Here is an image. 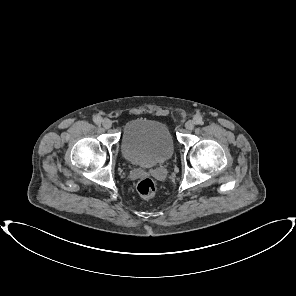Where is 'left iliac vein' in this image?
<instances>
[{
	"mask_svg": "<svg viewBox=\"0 0 296 296\" xmlns=\"http://www.w3.org/2000/svg\"><path fill=\"white\" fill-rule=\"evenodd\" d=\"M194 126H195V121L193 120H189L185 123V128L187 130H193Z\"/></svg>",
	"mask_w": 296,
	"mask_h": 296,
	"instance_id": "4c4485c4",
	"label": "left iliac vein"
}]
</instances>
